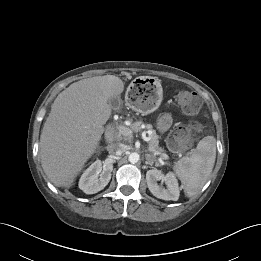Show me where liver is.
<instances>
[{"instance_id":"6515ba94","label":"liver","mask_w":261,"mask_h":261,"mask_svg":"<svg viewBox=\"0 0 261 261\" xmlns=\"http://www.w3.org/2000/svg\"><path fill=\"white\" fill-rule=\"evenodd\" d=\"M124 90L114 75L71 84L54 100L40 136V158L48 179L70 188L95 152L111 115L108 100Z\"/></svg>"}]
</instances>
